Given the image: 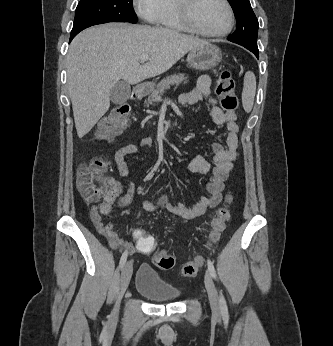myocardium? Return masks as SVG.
Wrapping results in <instances>:
<instances>
[{
  "label": "myocardium",
  "instance_id": "1",
  "mask_svg": "<svg viewBox=\"0 0 333 346\" xmlns=\"http://www.w3.org/2000/svg\"><path fill=\"white\" fill-rule=\"evenodd\" d=\"M221 1L227 9L229 20H228L227 27L223 31L216 32V33L205 31L204 29L201 28V26L196 21L194 17V4L196 0H175V3H176L178 14L182 22L190 30L205 37L220 38V37H224L228 35L232 31L234 27V23H235L234 10L229 0H221Z\"/></svg>",
  "mask_w": 333,
  "mask_h": 346
}]
</instances>
